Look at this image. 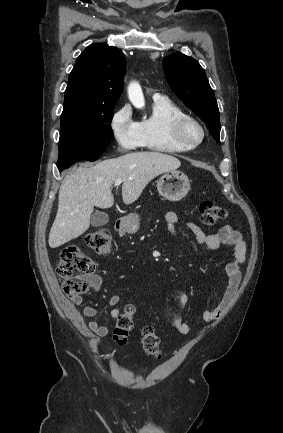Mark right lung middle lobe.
I'll return each instance as SVG.
<instances>
[{
	"mask_svg": "<svg viewBox=\"0 0 283 433\" xmlns=\"http://www.w3.org/2000/svg\"><path fill=\"white\" fill-rule=\"evenodd\" d=\"M115 104L77 105L61 115L59 150L105 151L114 135L111 120Z\"/></svg>",
	"mask_w": 283,
	"mask_h": 433,
	"instance_id": "right-lung-middle-lobe-1",
	"label": "right lung middle lobe"
}]
</instances>
